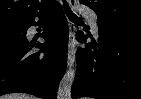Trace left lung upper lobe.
<instances>
[{
  "label": "left lung upper lobe",
  "mask_w": 141,
  "mask_h": 99,
  "mask_svg": "<svg viewBox=\"0 0 141 99\" xmlns=\"http://www.w3.org/2000/svg\"><path fill=\"white\" fill-rule=\"evenodd\" d=\"M97 14V22L116 27L141 28L139 0H80Z\"/></svg>",
  "instance_id": "obj_1"
}]
</instances>
